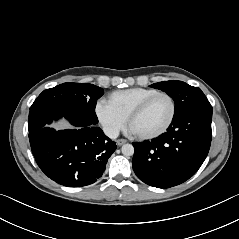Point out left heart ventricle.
I'll return each instance as SVG.
<instances>
[{
	"instance_id": "b2bd125f",
	"label": "left heart ventricle",
	"mask_w": 239,
	"mask_h": 239,
	"mask_svg": "<svg viewBox=\"0 0 239 239\" xmlns=\"http://www.w3.org/2000/svg\"><path fill=\"white\" fill-rule=\"evenodd\" d=\"M172 106L165 96L155 98L137 117L130 129L135 134H149L161 129L171 116Z\"/></svg>"
}]
</instances>
